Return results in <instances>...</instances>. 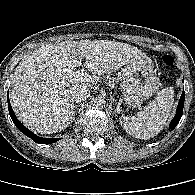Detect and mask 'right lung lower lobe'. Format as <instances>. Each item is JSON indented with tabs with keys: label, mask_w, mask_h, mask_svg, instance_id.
Returning a JSON list of instances; mask_svg holds the SVG:
<instances>
[{
	"label": "right lung lower lobe",
	"mask_w": 195,
	"mask_h": 195,
	"mask_svg": "<svg viewBox=\"0 0 195 195\" xmlns=\"http://www.w3.org/2000/svg\"><path fill=\"white\" fill-rule=\"evenodd\" d=\"M8 110H9V114L12 118V121L14 122V124L16 125V127L23 133L25 134L27 137L31 138L33 141H35L36 143L39 144H51L54 142H57L58 140H60L61 138H53V139H49V138H41L38 137L37 135H35L34 133H32L30 130H28L23 124H21V122L16 118L14 111L12 110V107L10 105V101L8 99Z\"/></svg>",
	"instance_id": "right-lung-lower-lobe-1"
}]
</instances>
